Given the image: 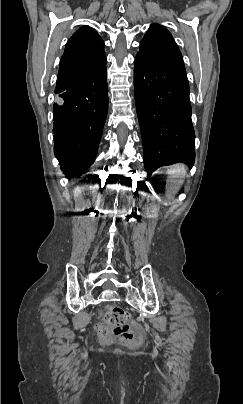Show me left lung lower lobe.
Wrapping results in <instances>:
<instances>
[{
	"label": "left lung lower lobe",
	"instance_id": "0a47b994",
	"mask_svg": "<svg viewBox=\"0 0 243 404\" xmlns=\"http://www.w3.org/2000/svg\"><path fill=\"white\" fill-rule=\"evenodd\" d=\"M134 90L148 176L161 166L177 162L192 168L195 132L186 72L137 55Z\"/></svg>",
	"mask_w": 243,
	"mask_h": 404
}]
</instances>
